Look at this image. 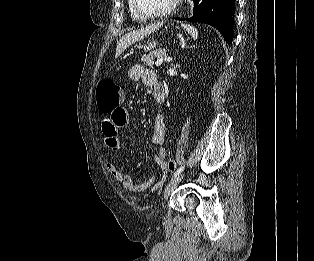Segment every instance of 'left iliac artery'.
I'll return each instance as SVG.
<instances>
[{"label":"left iliac artery","mask_w":314,"mask_h":261,"mask_svg":"<svg viewBox=\"0 0 314 261\" xmlns=\"http://www.w3.org/2000/svg\"><path fill=\"white\" fill-rule=\"evenodd\" d=\"M184 167H185V164L181 165V166L177 169V171L174 173L173 177L179 175V174L183 171Z\"/></svg>","instance_id":"1"}]
</instances>
